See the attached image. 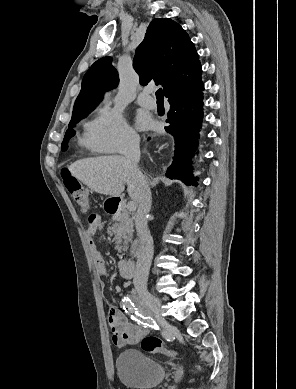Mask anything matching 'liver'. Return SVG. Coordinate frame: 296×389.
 Returning a JSON list of instances; mask_svg holds the SVG:
<instances>
[{"label": "liver", "instance_id": "1", "mask_svg": "<svg viewBox=\"0 0 296 389\" xmlns=\"http://www.w3.org/2000/svg\"><path fill=\"white\" fill-rule=\"evenodd\" d=\"M76 179L96 193L118 197L127 191L131 199L139 203L140 187L124 156H101L80 159L68 167Z\"/></svg>", "mask_w": 296, "mask_h": 389}]
</instances>
